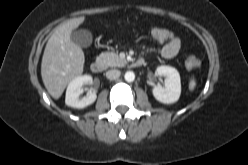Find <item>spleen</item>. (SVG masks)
<instances>
[{
	"mask_svg": "<svg viewBox=\"0 0 248 165\" xmlns=\"http://www.w3.org/2000/svg\"><path fill=\"white\" fill-rule=\"evenodd\" d=\"M195 86H196V81L194 78H191V80L189 82V90L190 91L194 90Z\"/></svg>",
	"mask_w": 248,
	"mask_h": 165,
	"instance_id": "3e777b00",
	"label": "spleen"
}]
</instances>
